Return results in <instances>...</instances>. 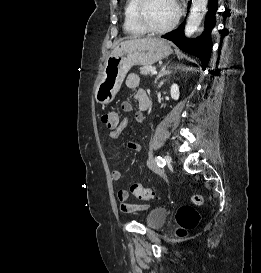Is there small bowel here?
Listing matches in <instances>:
<instances>
[{"label": "small bowel", "mask_w": 261, "mask_h": 273, "mask_svg": "<svg viewBox=\"0 0 261 273\" xmlns=\"http://www.w3.org/2000/svg\"><path fill=\"white\" fill-rule=\"evenodd\" d=\"M139 77L135 74H129L126 78V85L130 88H137L139 86ZM135 100L139 105L140 110L135 113V121L139 126L143 124L144 121V115L142 110L144 109V104L148 100L146 93L143 90H137L135 93ZM121 108L124 112H130L132 110V105L128 101H124L121 105ZM128 120L124 118L116 129L109 132L108 138L109 140H117L120 137L121 132L124 130V128L127 126ZM128 147L132 151L138 152L141 150V143L136 140L132 139L128 142ZM150 167L153 171L159 172L158 168L151 163ZM122 177V174L119 170H113L111 172V178L114 181H119ZM117 197L120 201V210L124 213H132L135 211H141L146 210L147 205H135L130 204L127 202L128 200V192L124 189H120L117 192Z\"/></svg>", "instance_id": "obj_1"}]
</instances>
